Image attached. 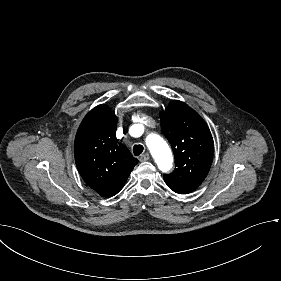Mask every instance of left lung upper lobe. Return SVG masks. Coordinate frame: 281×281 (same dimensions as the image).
<instances>
[{
    "instance_id": "5c2ea615",
    "label": "left lung upper lobe",
    "mask_w": 281,
    "mask_h": 281,
    "mask_svg": "<svg viewBox=\"0 0 281 281\" xmlns=\"http://www.w3.org/2000/svg\"><path fill=\"white\" fill-rule=\"evenodd\" d=\"M161 130L171 144L176 167L171 174L163 175L164 181L176 193H190L200 186L211 167V132L194 110L176 100L161 114Z\"/></svg>"
}]
</instances>
